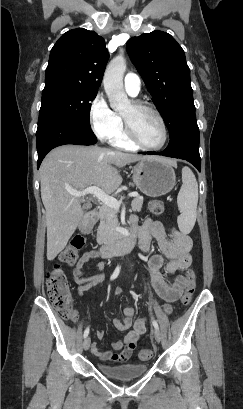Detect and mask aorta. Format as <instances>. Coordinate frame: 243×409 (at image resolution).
Listing matches in <instances>:
<instances>
[{
	"label": "aorta",
	"mask_w": 243,
	"mask_h": 409,
	"mask_svg": "<svg viewBox=\"0 0 243 409\" xmlns=\"http://www.w3.org/2000/svg\"><path fill=\"white\" fill-rule=\"evenodd\" d=\"M126 70V60L122 54L116 56L108 65L103 79L104 89L114 110H120L128 103V97L123 89V76Z\"/></svg>",
	"instance_id": "aorta-1"
}]
</instances>
